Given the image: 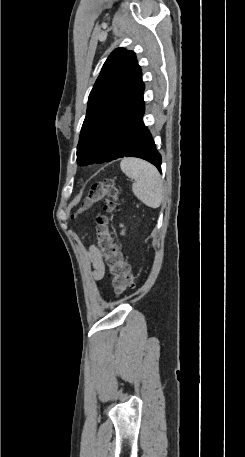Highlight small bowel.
Listing matches in <instances>:
<instances>
[{"label":"small bowel","mask_w":245,"mask_h":457,"mask_svg":"<svg viewBox=\"0 0 245 457\" xmlns=\"http://www.w3.org/2000/svg\"><path fill=\"white\" fill-rule=\"evenodd\" d=\"M90 259L93 265V277L96 280H101L105 276V266L101 257V253L97 247L91 246L89 251Z\"/></svg>","instance_id":"obj_1"}]
</instances>
